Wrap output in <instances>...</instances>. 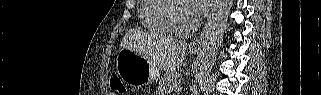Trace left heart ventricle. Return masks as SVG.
I'll return each instance as SVG.
<instances>
[{"label": "left heart ventricle", "mask_w": 321, "mask_h": 95, "mask_svg": "<svg viewBox=\"0 0 321 95\" xmlns=\"http://www.w3.org/2000/svg\"><path fill=\"white\" fill-rule=\"evenodd\" d=\"M173 16L175 22L181 28H189L195 19L189 8L183 4L176 6Z\"/></svg>", "instance_id": "1"}]
</instances>
